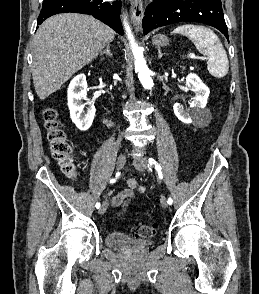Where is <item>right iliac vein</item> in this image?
Returning a JSON list of instances; mask_svg holds the SVG:
<instances>
[{
	"label": "right iliac vein",
	"instance_id": "obj_1",
	"mask_svg": "<svg viewBox=\"0 0 259 294\" xmlns=\"http://www.w3.org/2000/svg\"><path fill=\"white\" fill-rule=\"evenodd\" d=\"M126 162V156L125 154H121L119 155V157L117 158L116 161V168L117 170H120L123 168V166L125 165ZM107 210V203L104 201L103 204L101 205L100 209H99V214L103 215Z\"/></svg>",
	"mask_w": 259,
	"mask_h": 294
}]
</instances>
